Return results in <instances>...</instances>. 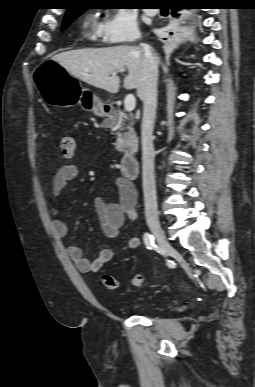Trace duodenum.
Segmentation results:
<instances>
[{
  "label": "duodenum",
  "mask_w": 255,
  "mask_h": 387,
  "mask_svg": "<svg viewBox=\"0 0 255 387\" xmlns=\"http://www.w3.org/2000/svg\"><path fill=\"white\" fill-rule=\"evenodd\" d=\"M106 114L109 116H116V111L113 109L106 110ZM121 171L127 179H135L140 172V163L136 156H125L121 161Z\"/></svg>",
  "instance_id": "410a0bca"
}]
</instances>
